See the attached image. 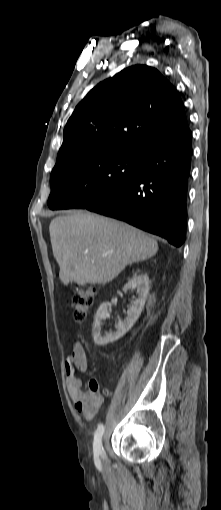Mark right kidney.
<instances>
[{
	"mask_svg": "<svg viewBox=\"0 0 221 510\" xmlns=\"http://www.w3.org/2000/svg\"><path fill=\"white\" fill-rule=\"evenodd\" d=\"M125 290L136 289L137 298L133 301L132 307L127 311V317L123 321H119L116 331L101 334V325L103 321L109 317L108 304L102 303L98 308L95 321L93 324V338L97 346H105L109 343L117 341L126 334L139 318L146 298L149 292V278L146 274H135L124 286Z\"/></svg>",
	"mask_w": 221,
	"mask_h": 510,
	"instance_id": "obj_1",
	"label": "right kidney"
}]
</instances>
